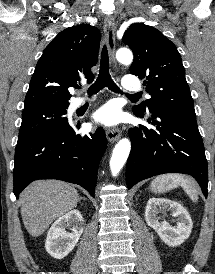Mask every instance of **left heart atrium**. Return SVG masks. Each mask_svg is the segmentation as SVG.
Masks as SVG:
<instances>
[{
    "label": "left heart atrium",
    "instance_id": "39dd6f15",
    "mask_svg": "<svg viewBox=\"0 0 215 274\" xmlns=\"http://www.w3.org/2000/svg\"><path fill=\"white\" fill-rule=\"evenodd\" d=\"M119 118L120 115L117 107L111 103L102 106L93 115L94 121L104 126H115L118 124Z\"/></svg>",
    "mask_w": 215,
    "mask_h": 274
}]
</instances>
